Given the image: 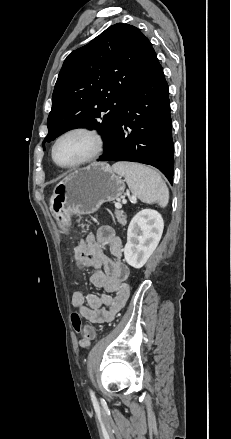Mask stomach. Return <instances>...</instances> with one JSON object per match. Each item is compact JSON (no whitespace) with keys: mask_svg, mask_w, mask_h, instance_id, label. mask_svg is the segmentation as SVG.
<instances>
[{"mask_svg":"<svg viewBox=\"0 0 231 439\" xmlns=\"http://www.w3.org/2000/svg\"><path fill=\"white\" fill-rule=\"evenodd\" d=\"M124 190L121 175L107 163H93L56 184L49 208L61 232L67 233L73 215L92 214L103 203L118 200Z\"/></svg>","mask_w":231,"mask_h":439,"instance_id":"0dacf381","label":"stomach"}]
</instances>
